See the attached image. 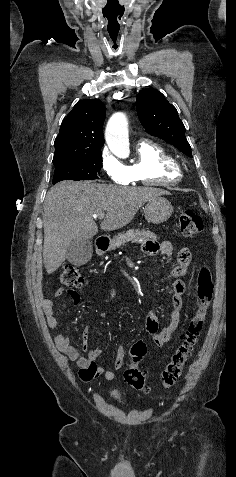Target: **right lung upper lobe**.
<instances>
[{"mask_svg":"<svg viewBox=\"0 0 236 477\" xmlns=\"http://www.w3.org/2000/svg\"><path fill=\"white\" fill-rule=\"evenodd\" d=\"M104 119L105 106L99 99L78 102L61 124L53 161L100 150L104 144Z\"/></svg>","mask_w":236,"mask_h":477,"instance_id":"obj_1","label":"right lung upper lobe"}]
</instances>
